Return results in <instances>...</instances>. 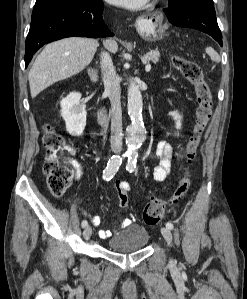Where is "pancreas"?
Listing matches in <instances>:
<instances>
[{
  "instance_id": "1",
  "label": "pancreas",
  "mask_w": 247,
  "mask_h": 299,
  "mask_svg": "<svg viewBox=\"0 0 247 299\" xmlns=\"http://www.w3.org/2000/svg\"><path fill=\"white\" fill-rule=\"evenodd\" d=\"M160 53L158 50H151L147 54L144 55V58L147 61H152L154 63H157L159 61Z\"/></svg>"
}]
</instances>
